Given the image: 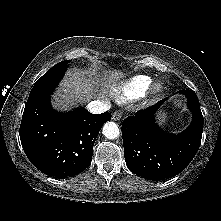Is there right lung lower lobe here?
Returning a JSON list of instances; mask_svg holds the SVG:
<instances>
[{"label": "right lung lower lobe", "mask_w": 221, "mask_h": 221, "mask_svg": "<svg viewBox=\"0 0 221 221\" xmlns=\"http://www.w3.org/2000/svg\"><path fill=\"white\" fill-rule=\"evenodd\" d=\"M53 91L29 96L19 134L23 150L36 168L65 178L89 167L95 139L111 114H92L83 108L58 113L50 105Z\"/></svg>", "instance_id": "right-lung-lower-lobe-1"}]
</instances>
